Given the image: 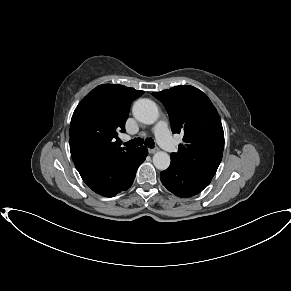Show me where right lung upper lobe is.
<instances>
[{
  "label": "right lung upper lobe",
  "mask_w": 291,
  "mask_h": 291,
  "mask_svg": "<svg viewBox=\"0 0 291 291\" xmlns=\"http://www.w3.org/2000/svg\"><path fill=\"white\" fill-rule=\"evenodd\" d=\"M143 93L123 85L103 84L85 96L70 123L72 159L111 162L132 151L120 147L118 132H125L130 104Z\"/></svg>",
  "instance_id": "cb5924a9"
}]
</instances>
